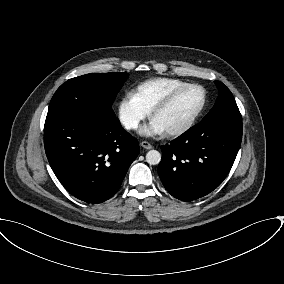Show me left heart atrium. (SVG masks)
Masks as SVG:
<instances>
[{
	"label": "left heart atrium",
	"instance_id": "1",
	"mask_svg": "<svg viewBox=\"0 0 284 284\" xmlns=\"http://www.w3.org/2000/svg\"><path fill=\"white\" fill-rule=\"evenodd\" d=\"M163 132L164 131L154 121L141 130V134L143 135H157Z\"/></svg>",
	"mask_w": 284,
	"mask_h": 284
}]
</instances>
